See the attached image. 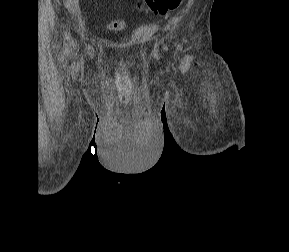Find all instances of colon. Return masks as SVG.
<instances>
[{"label": "colon", "mask_w": 289, "mask_h": 252, "mask_svg": "<svg viewBox=\"0 0 289 252\" xmlns=\"http://www.w3.org/2000/svg\"><path fill=\"white\" fill-rule=\"evenodd\" d=\"M181 2L182 0H141L139 8L149 10L154 14H166L176 10Z\"/></svg>", "instance_id": "1"}]
</instances>
